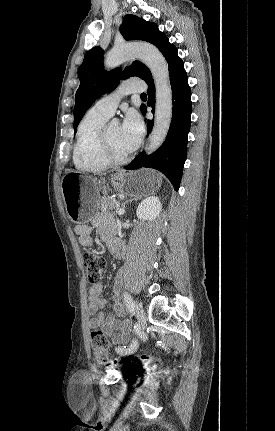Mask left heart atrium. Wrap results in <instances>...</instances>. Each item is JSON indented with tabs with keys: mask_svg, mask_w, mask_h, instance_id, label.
Here are the masks:
<instances>
[{
	"mask_svg": "<svg viewBox=\"0 0 275 431\" xmlns=\"http://www.w3.org/2000/svg\"><path fill=\"white\" fill-rule=\"evenodd\" d=\"M144 132L141 117L136 112H129L121 125V142L128 152L138 146Z\"/></svg>",
	"mask_w": 275,
	"mask_h": 431,
	"instance_id": "obj_1",
	"label": "left heart atrium"
}]
</instances>
